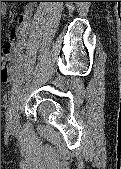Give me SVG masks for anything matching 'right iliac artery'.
Here are the masks:
<instances>
[{"instance_id":"1","label":"right iliac artery","mask_w":121,"mask_h":169,"mask_svg":"<svg viewBox=\"0 0 121 169\" xmlns=\"http://www.w3.org/2000/svg\"><path fill=\"white\" fill-rule=\"evenodd\" d=\"M22 81H23V75L22 74H20L19 76H17L15 78L14 83H13V87L11 89V97H13L16 94L20 85L22 84Z\"/></svg>"}]
</instances>
